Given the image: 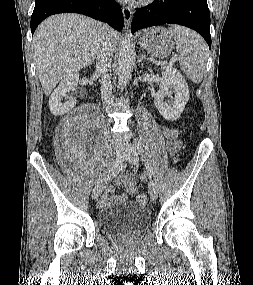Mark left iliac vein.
I'll list each match as a JSON object with an SVG mask.
<instances>
[{
  "instance_id": "1",
  "label": "left iliac vein",
  "mask_w": 253,
  "mask_h": 285,
  "mask_svg": "<svg viewBox=\"0 0 253 285\" xmlns=\"http://www.w3.org/2000/svg\"><path fill=\"white\" fill-rule=\"evenodd\" d=\"M122 150L124 152V160L132 165L137 164L138 154L135 146L132 144H126ZM148 193L152 200H155L157 198V188L153 180H149L148 182Z\"/></svg>"
}]
</instances>
